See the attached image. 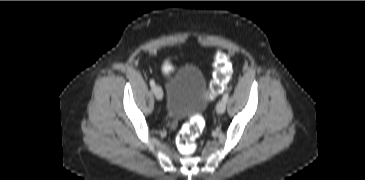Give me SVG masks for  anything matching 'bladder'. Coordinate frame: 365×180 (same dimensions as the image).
<instances>
[{
  "mask_svg": "<svg viewBox=\"0 0 365 180\" xmlns=\"http://www.w3.org/2000/svg\"><path fill=\"white\" fill-rule=\"evenodd\" d=\"M207 81L194 65H184L167 79L166 113L173 120L201 114L209 104Z\"/></svg>",
  "mask_w": 365,
  "mask_h": 180,
  "instance_id": "obj_1",
  "label": "bladder"
}]
</instances>
